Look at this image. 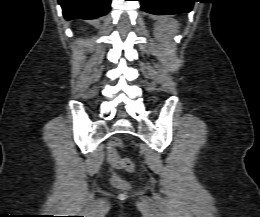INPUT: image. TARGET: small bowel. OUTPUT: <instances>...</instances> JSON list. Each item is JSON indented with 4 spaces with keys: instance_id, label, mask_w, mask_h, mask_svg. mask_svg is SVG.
Returning <instances> with one entry per match:
<instances>
[{
    "instance_id": "c3829d8e",
    "label": "small bowel",
    "mask_w": 260,
    "mask_h": 217,
    "mask_svg": "<svg viewBox=\"0 0 260 217\" xmlns=\"http://www.w3.org/2000/svg\"><path fill=\"white\" fill-rule=\"evenodd\" d=\"M118 158L119 157H118V154H117L116 150L111 145H109V148H108V161H109L110 167L112 169L117 167V159Z\"/></svg>"
}]
</instances>
